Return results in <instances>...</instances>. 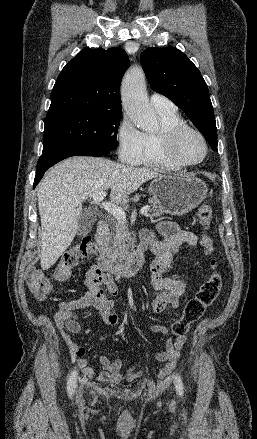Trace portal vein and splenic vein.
Listing matches in <instances>:
<instances>
[{"label": "portal vein and splenic vein", "mask_w": 257, "mask_h": 439, "mask_svg": "<svg viewBox=\"0 0 257 439\" xmlns=\"http://www.w3.org/2000/svg\"><path fill=\"white\" fill-rule=\"evenodd\" d=\"M106 191H101L93 196V200L98 203H102V207L110 214H112L119 222H125L126 220V214L124 210L110 202H103L104 197L106 196ZM150 210L149 205H145L141 209V214H147Z\"/></svg>", "instance_id": "portal-vein-and-splenic-vein-1"}]
</instances>
